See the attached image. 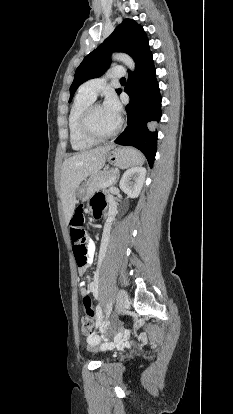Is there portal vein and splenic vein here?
I'll return each mask as SVG.
<instances>
[{"instance_id": "portal-vein-and-splenic-vein-1", "label": "portal vein and splenic vein", "mask_w": 233, "mask_h": 414, "mask_svg": "<svg viewBox=\"0 0 233 414\" xmlns=\"http://www.w3.org/2000/svg\"><path fill=\"white\" fill-rule=\"evenodd\" d=\"M115 179H116V177H112L105 185L106 186L112 185L114 183Z\"/></svg>"}]
</instances>
